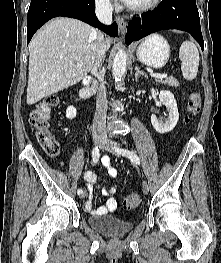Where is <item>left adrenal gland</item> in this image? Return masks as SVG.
<instances>
[{
  "label": "left adrenal gland",
  "mask_w": 221,
  "mask_h": 263,
  "mask_svg": "<svg viewBox=\"0 0 221 263\" xmlns=\"http://www.w3.org/2000/svg\"><path fill=\"white\" fill-rule=\"evenodd\" d=\"M135 80L138 81V78L142 75L144 77H147L146 73L144 71H141L138 66L135 67Z\"/></svg>",
  "instance_id": "obj_1"
}]
</instances>
